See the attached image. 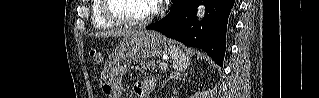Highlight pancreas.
I'll use <instances>...</instances> for the list:
<instances>
[{"mask_svg": "<svg viewBox=\"0 0 319 98\" xmlns=\"http://www.w3.org/2000/svg\"><path fill=\"white\" fill-rule=\"evenodd\" d=\"M136 69L142 71L144 74H148L149 72H157L156 62L154 60H144L140 62V65L136 66Z\"/></svg>", "mask_w": 319, "mask_h": 98, "instance_id": "obj_1", "label": "pancreas"}]
</instances>
